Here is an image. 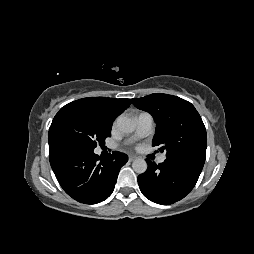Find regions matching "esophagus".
Segmentation results:
<instances>
[{
	"label": "esophagus",
	"mask_w": 254,
	"mask_h": 254,
	"mask_svg": "<svg viewBox=\"0 0 254 254\" xmlns=\"http://www.w3.org/2000/svg\"><path fill=\"white\" fill-rule=\"evenodd\" d=\"M137 157L136 156H134V155H129L128 156V160L130 161V162H132L133 160H135Z\"/></svg>",
	"instance_id": "34e87169"
}]
</instances>
